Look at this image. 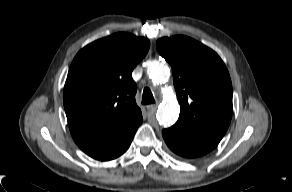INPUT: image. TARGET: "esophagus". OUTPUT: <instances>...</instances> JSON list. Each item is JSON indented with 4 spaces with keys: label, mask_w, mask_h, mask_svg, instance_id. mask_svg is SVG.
I'll use <instances>...</instances> for the list:
<instances>
[{
    "label": "esophagus",
    "mask_w": 292,
    "mask_h": 192,
    "mask_svg": "<svg viewBox=\"0 0 292 192\" xmlns=\"http://www.w3.org/2000/svg\"><path fill=\"white\" fill-rule=\"evenodd\" d=\"M158 107V103L150 104L147 106L148 111H155Z\"/></svg>",
    "instance_id": "1"
}]
</instances>
